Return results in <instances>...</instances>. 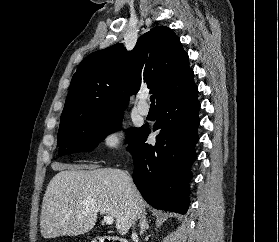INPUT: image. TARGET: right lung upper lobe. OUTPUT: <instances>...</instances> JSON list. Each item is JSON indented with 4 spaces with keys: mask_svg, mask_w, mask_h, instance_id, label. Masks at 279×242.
<instances>
[{
    "mask_svg": "<svg viewBox=\"0 0 279 242\" xmlns=\"http://www.w3.org/2000/svg\"><path fill=\"white\" fill-rule=\"evenodd\" d=\"M194 73L179 37L158 26L142 35L132 51L120 43L88 55L71 82L60 126L123 113L128 94L148 87L156 106L189 90Z\"/></svg>",
    "mask_w": 279,
    "mask_h": 242,
    "instance_id": "right-lung-upper-lobe-1",
    "label": "right lung upper lobe"
}]
</instances>
